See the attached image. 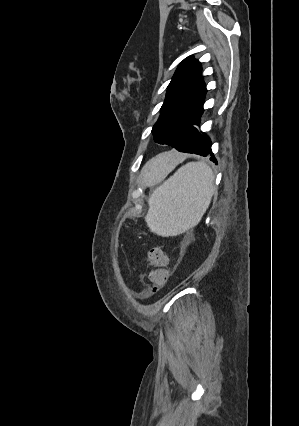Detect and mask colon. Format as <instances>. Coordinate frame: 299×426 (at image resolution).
<instances>
[{"label":"colon","mask_w":299,"mask_h":426,"mask_svg":"<svg viewBox=\"0 0 299 426\" xmlns=\"http://www.w3.org/2000/svg\"><path fill=\"white\" fill-rule=\"evenodd\" d=\"M148 261L153 268L148 274V282L145 286V290L147 294L153 295L164 287L170 271L167 266V258L160 247L149 250Z\"/></svg>","instance_id":"colon-1"}]
</instances>
